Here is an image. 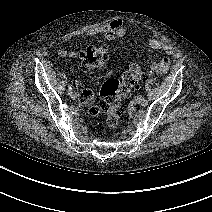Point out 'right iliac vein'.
<instances>
[{
    "mask_svg": "<svg viewBox=\"0 0 212 212\" xmlns=\"http://www.w3.org/2000/svg\"><path fill=\"white\" fill-rule=\"evenodd\" d=\"M70 97H71L73 100H75V99L77 98V94H76L75 92H72V93L70 94Z\"/></svg>",
    "mask_w": 212,
    "mask_h": 212,
    "instance_id": "1",
    "label": "right iliac vein"
}]
</instances>
